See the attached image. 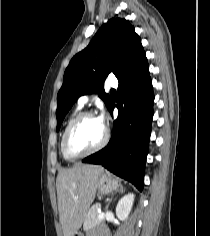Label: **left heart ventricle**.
Listing matches in <instances>:
<instances>
[{
    "label": "left heart ventricle",
    "mask_w": 210,
    "mask_h": 236,
    "mask_svg": "<svg viewBox=\"0 0 210 236\" xmlns=\"http://www.w3.org/2000/svg\"><path fill=\"white\" fill-rule=\"evenodd\" d=\"M104 135V127L96 118H86L72 131L69 148L73 153H80L95 147Z\"/></svg>",
    "instance_id": "b2bd125f"
}]
</instances>
